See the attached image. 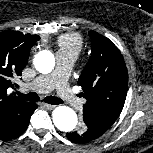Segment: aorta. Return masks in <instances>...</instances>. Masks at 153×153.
Wrapping results in <instances>:
<instances>
[{
    "instance_id": "aorta-1",
    "label": "aorta",
    "mask_w": 153,
    "mask_h": 153,
    "mask_svg": "<svg viewBox=\"0 0 153 153\" xmlns=\"http://www.w3.org/2000/svg\"><path fill=\"white\" fill-rule=\"evenodd\" d=\"M34 66L40 73H50L55 66L54 55L47 50L39 52L34 58ZM54 125L63 132L72 131L77 125V115L67 106H58L52 113Z\"/></svg>"
}]
</instances>
